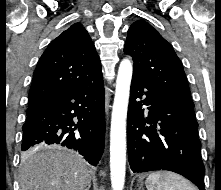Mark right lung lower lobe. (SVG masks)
Segmentation results:
<instances>
[{"instance_id": "obj_1", "label": "right lung lower lobe", "mask_w": 221, "mask_h": 190, "mask_svg": "<svg viewBox=\"0 0 221 190\" xmlns=\"http://www.w3.org/2000/svg\"><path fill=\"white\" fill-rule=\"evenodd\" d=\"M105 94L102 74L28 106L21 149L54 144L76 150L96 166L104 151Z\"/></svg>"}]
</instances>
